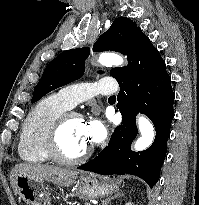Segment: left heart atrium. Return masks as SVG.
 Segmentation results:
<instances>
[{"label": "left heart atrium", "instance_id": "left-heart-atrium-1", "mask_svg": "<svg viewBox=\"0 0 199 205\" xmlns=\"http://www.w3.org/2000/svg\"><path fill=\"white\" fill-rule=\"evenodd\" d=\"M83 134L90 143H100L106 137V128L101 121L91 119L83 123Z\"/></svg>", "mask_w": 199, "mask_h": 205}]
</instances>
